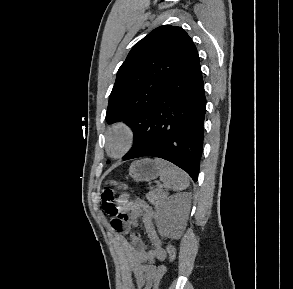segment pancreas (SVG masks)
<instances>
[{"label": "pancreas", "instance_id": "1", "mask_svg": "<svg viewBox=\"0 0 293 289\" xmlns=\"http://www.w3.org/2000/svg\"><path fill=\"white\" fill-rule=\"evenodd\" d=\"M146 198L151 204L156 205L165 198V194L161 189H154L146 194Z\"/></svg>", "mask_w": 293, "mask_h": 289}]
</instances>
